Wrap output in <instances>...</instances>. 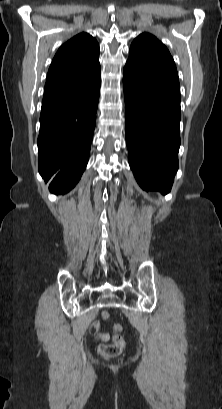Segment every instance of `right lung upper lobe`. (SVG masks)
<instances>
[{
	"mask_svg": "<svg viewBox=\"0 0 222 409\" xmlns=\"http://www.w3.org/2000/svg\"><path fill=\"white\" fill-rule=\"evenodd\" d=\"M100 71L99 45L88 33L64 43L51 63L43 99L61 97L83 90L88 77Z\"/></svg>",
	"mask_w": 222,
	"mask_h": 409,
	"instance_id": "obj_1",
	"label": "right lung upper lobe"
}]
</instances>
